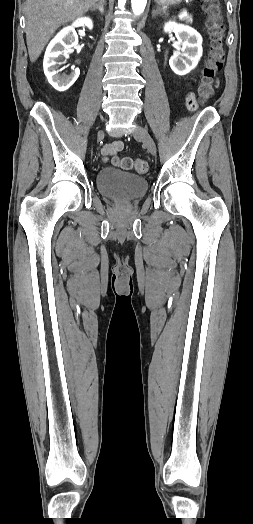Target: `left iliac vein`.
Here are the masks:
<instances>
[{"label":"left iliac vein","instance_id":"obj_1","mask_svg":"<svg viewBox=\"0 0 253 524\" xmlns=\"http://www.w3.org/2000/svg\"><path fill=\"white\" fill-rule=\"evenodd\" d=\"M133 136L141 140L152 155L156 154L155 142L144 127L137 126L133 132Z\"/></svg>","mask_w":253,"mask_h":524}]
</instances>
